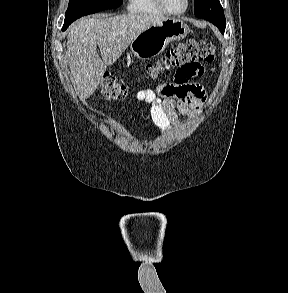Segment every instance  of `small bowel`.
I'll return each mask as SVG.
<instances>
[{
    "label": "small bowel",
    "instance_id": "c3829d8e",
    "mask_svg": "<svg viewBox=\"0 0 288 293\" xmlns=\"http://www.w3.org/2000/svg\"><path fill=\"white\" fill-rule=\"evenodd\" d=\"M203 74V65L192 63L177 69L172 81L163 82L154 89L140 90L136 94L139 101L151 104L152 120L162 133L169 132L178 123L177 111L190 117L200 112L206 95L200 85L190 80Z\"/></svg>",
    "mask_w": 288,
    "mask_h": 293
}]
</instances>
